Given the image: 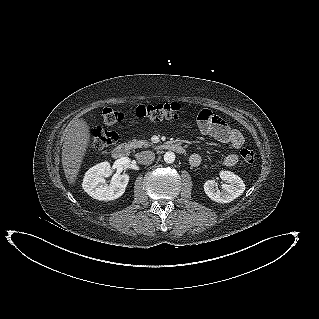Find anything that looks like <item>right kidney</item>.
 I'll use <instances>...</instances> for the list:
<instances>
[{"label": "right kidney", "mask_w": 319, "mask_h": 319, "mask_svg": "<svg viewBox=\"0 0 319 319\" xmlns=\"http://www.w3.org/2000/svg\"><path fill=\"white\" fill-rule=\"evenodd\" d=\"M111 165L109 162H101L85 173L82 187L89 196L97 200L110 201L121 197L129 182L128 174H120L112 179L108 185L105 177L110 175Z\"/></svg>", "instance_id": "1"}]
</instances>
